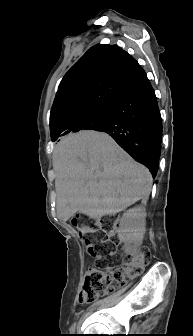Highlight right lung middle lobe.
<instances>
[{"label": "right lung middle lobe", "instance_id": "dd1d6c3e", "mask_svg": "<svg viewBox=\"0 0 193 336\" xmlns=\"http://www.w3.org/2000/svg\"><path fill=\"white\" fill-rule=\"evenodd\" d=\"M109 111L110 108H104L79 116L74 122V129L77 132L83 129H92L98 131L105 125Z\"/></svg>", "mask_w": 193, "mask_h": 336}]
</instances>
